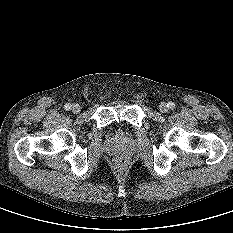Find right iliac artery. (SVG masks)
Instances as JSON below:
<instances>
[{"instance_id":"1","label":"right iliac artery","mask_w":233,"mask_h":233,"mask_svg":"<svg viewBox=\"0 0 233 233\" xmlns=\"http://www.w3.org/2000/svg\"><path fill=\"white\" fill-rule=\"evenodd\" d=\"M64 108L66 110H70L71 109V104H69V103L65 104Z\"/></svg>"}]
</instances>
